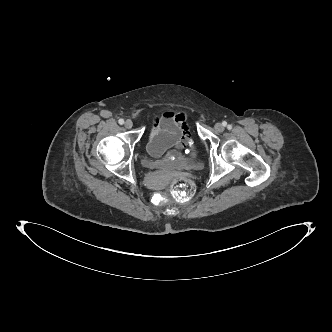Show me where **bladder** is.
Wrapping results in <instances>:
<instances>
[{
	"instance_id": "31cf9c89",
	"label": "bladder",
	"mask_w": 332,
	"mask_h": 332,
	"mask_svg": "<svg viewBox=\"0 0 332 332\" xmlns=\"http://www.w3.org/2000/svg\"><path fill=\"white\" fill-rule=\"evenodd\" d=\"M172 144L165 145L163 149L155 153L152 145H146V155L141 159L145 167H169V168H197L200 162L197 159H188L179 151L171 148Z\"/></svg>"
}]
</instances>
